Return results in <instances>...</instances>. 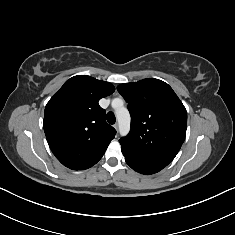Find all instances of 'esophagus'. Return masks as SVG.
I'll return each instance as SVG.
<instances>
[{
	"label": "esophagus",
	"instance_id": "esophagus-1",
	"mask_svg": "<svg viewBox=\"0 0 235 235\" xmlns=\"http://www.w3.org/2000/svg\"><path fill=\"white\" fill-rule=\"evenodd\" d=\"M113 127L118 131V129H119V125H118V123L114 124V126H113Z\"/></svg>",
	"mask_w": 235,
	"mask_h": 235
}]
</instances>
